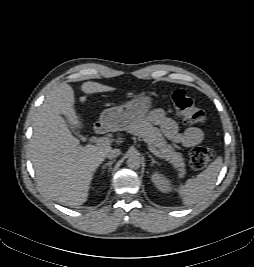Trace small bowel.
Segmentation results:
<instances>
[{"label": "small bowel", "mask_w": 254, "mask_h": 267, "mask_svg": "<svg viewBox=\"0 0 254 267\" xmlns=\"http://www.w3.org/2000/svg\"><path fill=\"white\" fill-rule=\"evenodd\" d=\"M150 120L160 127L169 140L184 147H193L200 144L204 139L203 131L197 127H191L181 132L176 122L167 117L160 109L151 112Z\"/></svg>", "instance_id": "c3829d8e"}]
</instances>
